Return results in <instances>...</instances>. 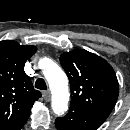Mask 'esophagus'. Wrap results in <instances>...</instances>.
Wrapping results in <instances>:
<instances>
[{
  "label": "esophagus",
  "mask_w": 130,
  "mask_h": 130,
  "mask_svg": "<svg viewBox=\"0 0 130 130\" xmlns=\"http://www.w3.org/2000/svg\"><path fill=\"white\" fill-rule=\"evenodd\" d=\"M43 97H44L45 101H47V102L50 101V99H51L50 91L43 92Z\"/></svg>",
  "instance_id": "esophagus-1"
}]
</instances>
